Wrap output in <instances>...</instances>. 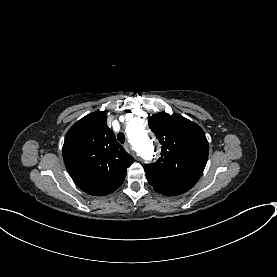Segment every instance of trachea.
<instances>
[{"label": "trachea", "mask_w": 277, "mask_h": 277, "mask_svg": "<svg viewBox=\"0 0 277 277\" xmlns=\"http://www.w3.org/2000/svg\"><path fill=\"white\" fill-rule=\"evenodd\" d=\"M117 139H118V141H119L121 144H124V142H125V135H124L122 132H120V133L117 135Z\"/></svg>", "instance_id": "obj_1"}]
</instances>
